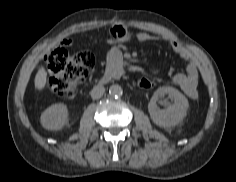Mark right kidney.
I'll return each instance as SVG.
<instances>
[{
    "label": "right kidney",
    "instance_id": "right-kidney-1",
    "mask_svg": "<svg viewBox=\"0 0 236 182\" xmlns=\"http://www.w3.org/2000/svg\"><path fill=\"white\" fill-rule=\"evenodd\" d=\"M68 121L67 106L59 103L48 107L41 115V124L47 130L62 129Z\"/></svg>",
    "mask_w": 236,
    "mask_h": 182
}]
</instances>
